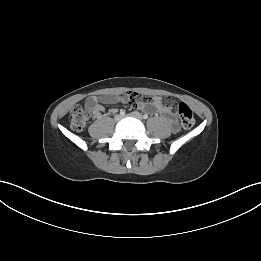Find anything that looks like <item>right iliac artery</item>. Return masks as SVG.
I'll return each instance as SVG.
<instances>
[{
  "label": "right iliac artery",
  "instance_id": "82829eb1",
  "mask_svg": "<svg viewBox=\"0 0 261 261\" xmlns=\"http://www.w3.org/2000/svg\"><path fill=\"white\" fill-rule=\"evenodd\" d=\"M120 115L124 116L125 115V111L124 110H120Z\"/></svg>",
  "mask_w": 261,
  "mask_h": 261
}]
</instances>
